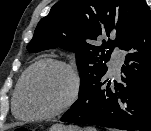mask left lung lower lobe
<instances>
[{"label":"left lung lower lobe","mask_w":151,"mask_h":131,"mask_svg":"<svg viewBox=\"0 0 151 131\" xmlns=\"http://www.w3.org/2000/svg\"><path fill=\"white\" fill-rule=\"evenodd\" d=\"M119 81L94 80L61 121L127 131L151 130V11L142 3L123 49Z\"/></svg>","instance_id":"0a47b994"}]
</instances>
